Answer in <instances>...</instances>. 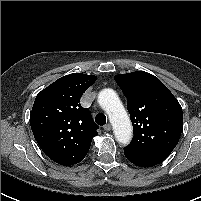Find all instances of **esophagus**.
I'll return each mask as SVG.
<instances>
[{
  "label": "esophagus",
  "mask_w": 201,
  "mask_h": 201,
  "mask_svg": "<svg viewBox=\"0 0 201 201\" xmlns=\"http://www.w3.org/2000/svg\"><path fill=\"white\" fill-rule=\"evenodd\" d=\"M103 128H104V130H105V131H107V132H108V131H110V130H111V125H110V124H106V125H104V127H103Z\"/></svg>",
  "instance_id": "34e87169"
}]
</instances>
